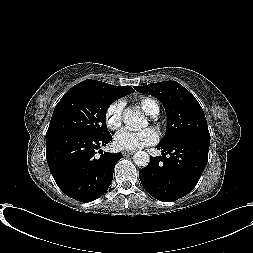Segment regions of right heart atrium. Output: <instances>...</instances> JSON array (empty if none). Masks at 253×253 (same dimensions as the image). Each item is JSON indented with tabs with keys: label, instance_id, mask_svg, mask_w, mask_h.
I'll return each instance as SVG.
<instances>
[{
	"label": "right heart atrium",
	"instance_id": "1",
	"mask_svg": "<svg viewBox=\"0 0 253 253\" xmlns=\"http://www.w3.org/2000/svg\"><path fill=\"white\" fill-rule=\"evenodd\" d=\"M124 102L116 100L106 109L105 122L110 130H116L121 126Z\"/></svg>",
	"mask_w": 253,
	"mask_h": 253
}]
</instances>
